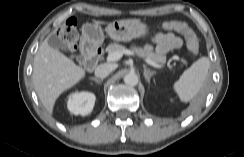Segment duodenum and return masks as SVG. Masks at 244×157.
I'll return each mask as SVG.
<instances>
[{
	"label": "duodenum",
	"instance_id": "1",
	"mask_svg": "<svg viewBox=\"0 0 244 157\" xmlns=\"http://www.w3.org/2000/svg\"><path fill=\"white\" fill-rule=\"evenodd\" d=\"M82 48L85 57V66L89 71H92L100 60L101 50L90 46L88 42L83 43Z\"/></svg>",
	"mask_w": 244,
	"mask_h": 157
}]
</instances>
